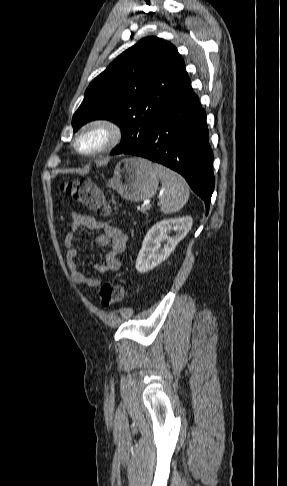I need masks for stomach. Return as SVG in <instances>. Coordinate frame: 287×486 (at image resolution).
Here are the masks:
<instances>
[{
    "label": "stomach",
    "instance_id": "obj_1",
    "mask_svg": "<svg viewBox=\"0 0 287 486\" xmlns=\"http://www.w3.org/2000/svg\"><path fill=\"white\" fill-rule=\"evenodd\" d=\"M159 173L155 165L140 157L119 161L108 186L124 199L139 202L153 197L157 191Z\"/></svg>",
    "mask_w": 287,
    "mask_h": 486
}]
</instances>
